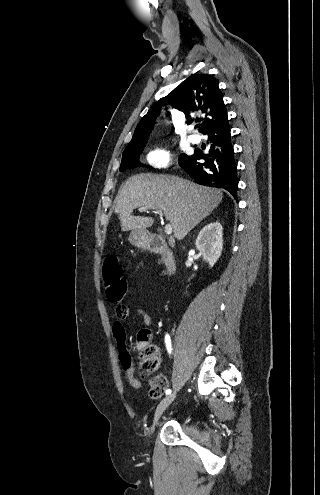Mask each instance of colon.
Here are the masks:
<instances>
[{
  "instance_id": "colon-1",
  "label": "colon",
  "mask_w": 320,
  "mask_h": 495,
  "mask_svg": "<svg viewBox=\"0 0 320 495\" xmlns=\"http://www.w3.org/2000/svg\"><path fill=\"white\" fill-rule=\"evenodd\" d=\"M102 274L108 300L117 304V311L122 310L124 305L120 304V301L126 293L127 281L117 256L108 255L105 258ZM148 336V330L140 331L135 344L141 360L140 366L144 377L155 372L160 363L158 350L156 347L149 345ZM124 361L128 363L130 358H124ZM166 388V380L162 376L156 375L150 380L149 396L152 399H158L163 395Z\"/></svg>"
}]
</instances>
